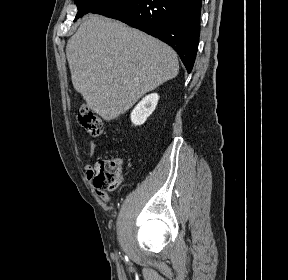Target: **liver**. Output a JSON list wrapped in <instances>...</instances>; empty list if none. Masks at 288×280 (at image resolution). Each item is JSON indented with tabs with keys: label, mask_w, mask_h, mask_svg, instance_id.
Masks as SVG:
<instances>
[{
	"label": "liver",
	"mask_w": 288,
	"mask_h": 280,
	"mask_svg": "<svg viewBox=\"0 0 288 280\" xmlns=\"http://www.w3.org/2000/svg\"><path fill=\"white\" fill-rule=\"evenodd\" d=\"M75 90L104 120L118 118L144 94L178 75L175 51L125 24L89 15L68 40Z\"/></svg>",
	"instance_id": "6515ba94"
}]
</instances>
